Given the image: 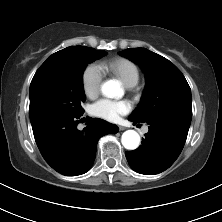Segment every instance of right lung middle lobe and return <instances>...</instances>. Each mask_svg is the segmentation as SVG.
<instances>
[{"label": "right lung middle lobe", "mask_w": 222, "mask_h": 222, "mask_svg": "<svg viewBox=\"0 0 222 222\" xmlns=\"http://www.w3.org/2000/svg\"><path fill=\"white\" fill-rule=\"evenodd\" d=\"M85 46H71L52 54L35 73L29 90L30 121L53 114L81 115L85 101L82 75L88 63L105 55Z\"/></svg>", "instance_id": "1"}]
</instances>
